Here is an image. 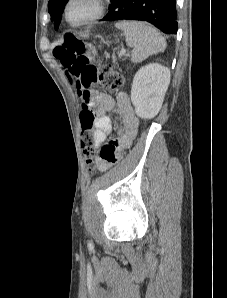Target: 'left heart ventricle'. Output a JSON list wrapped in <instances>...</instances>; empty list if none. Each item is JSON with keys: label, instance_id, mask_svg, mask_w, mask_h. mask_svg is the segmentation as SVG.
I'll return each mask as SVG.
<instances>
[{"label": "left heart ventricle", "instance_id": "left-heart-ventricle-1", "mask_svg": "<svg viewBox=\"0 0 227 298\" xmlns=\"http://www.w3.org/2000/svg\"><path fill=\"white\" fill-rule=\"evenodd\" d=\"M94 12V0H73L69 7V17L75 23L89 18Z\"/></svg>", "mask_w": 227, "mask_h": 298}]
</instances>
